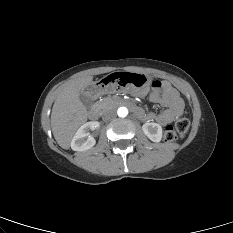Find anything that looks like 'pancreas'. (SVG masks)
Instances as JSON below:
<instances>
[{
	"label": "pancreas",
	"instance_id": "obj_1",
	"mask_svg": "<svg viewBox=\"0 0 233 233\" xmlns=\"http://www.w3.org/2000/svg\"><path fill=\"white\" fill-rule=\"evenodd\" d=\"M96 105L102 110H107L114 108L117 105V101L112 97H106L99 100Z\"/></svg>",
	"mask_w": 233,
	"mask_h": 233
}]
</instances>
